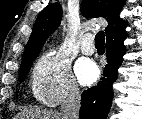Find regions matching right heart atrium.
Wrapping results in <instances>:
<instances>
[{
    "instance_id": "1",
    "label": "right heart atrium",
    "mask_w": 142,
    "mask_h": 119,
    "mask_svg": "<svg viewBox=\"0 0 142 119\" xmlns=\"http://www.w3.org/2000/svg\"><path fill=\"white\" fill-rule=\"evenodd\" d=\"M32 91L47 106L76 100L80 91L67 59L59 50L42 54L32 69Z\"/></svg>"
}]
</instances>
